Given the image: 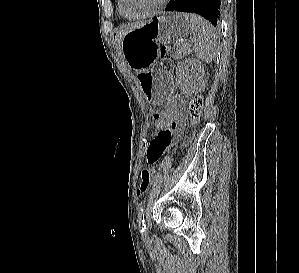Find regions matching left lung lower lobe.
<instances>
[{"mask_svg":"<svg viewBox=\"0 0 299 273\" xmlns=\"http://www.w3.org/2000/svg\"><path fill=\"white\" fill-rule=\"evenodd\" d=\"M221 0H171L165 11L197 13L214 26L219 22Z\"/></svg>","mask_w":299,"mask_h":273,"instance_id":"0a47b994","label":"left lung lower lobe"}]
</instances>
